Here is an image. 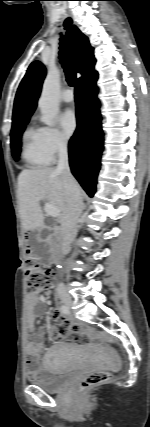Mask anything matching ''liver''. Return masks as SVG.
Returning a JSON list of instances; mask_svg holds the SVG:
<instances>
[{
	"mask_svg": "<svg viewBox=\"0 0 150 427\" xmlns=\"http://www.w3.org/2000/svg\"><path fill=\"white\" fill-rule=\"evenodd\" d=\"M78 188L80 190L79 185ZM18 200L23 228L41 229L44 214L40 201L59 208L60 212L65 210L66 189L62 175L54 168L23 170L18 176Z\"/></svg>",
	"mask_w": 150,
	"mask_h": 427,
	"instance_id": "6515ba94",
	"label": "liver"
}]
</instances>
